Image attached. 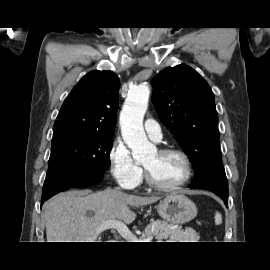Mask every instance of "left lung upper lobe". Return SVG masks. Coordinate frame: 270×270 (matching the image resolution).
<instances>
[{"label": "left lung upper lobe", "mask_w": 270, "mask_h": 270, "mask_svg": "<svg viewBox=\"0 0 270 270\" xmlns=\"http://www.w3.org/2000/svg\"><path fill=\"white\" fill-rule=\"evenodd\" d=\"M152 84V102L160 120L192 159L193 180L224 169L218 116L208 83L194 69L181 64L164 69Z\"/></svg>", "instance_id": "1"}]
</instances>
